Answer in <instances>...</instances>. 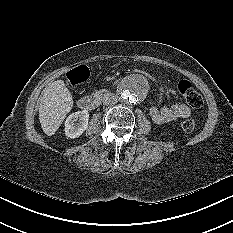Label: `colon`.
Segmentation results:
<instances>
[{
	"label": "colon",
	"mask_w": 233,
	"mask_h": 233,
	"mask_svg": "<svg viewBox=\"0 0 233 233\" xmlns=\"http://www.w3.org/2000/svg\"><path fill=\"white\" fill-rule=\"evenodd\" d=\"M89 76L90 70L86 66H79L67 74L68 82L71 85L84 83L89 78ZM178 91L192 108L198 109L202 107V96L194 89L189 81L181 80L178 83ZM195 128L196 122L192 118H189L182 123V129L185 132H192L195 130Z\"/></svg>",
	"instance_id": "colon-1"
}]
</instances>
